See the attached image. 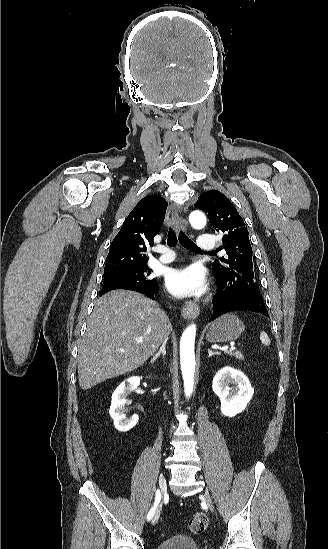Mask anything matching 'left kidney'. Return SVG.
<instances>
[{
	"mask_svg": "<svg viewBox=\"0 0 328 549\" xmlns=\"http://www.w3.org/2000/svg\"><path fill=\"white\" fill-rule=\"evenodd\" d=\"M229 385H235V387H229ZM212 389L220 399V411L225 417H235L238 413H242L254 395V389L248 377L242 371L232 367H223L216 373Z\"/></svg>",
	"mask_w": 328,
	"mask_h": 549,
	"instance_id": "5707ae66",
	"label": "left kidney"
}]
</instances>
